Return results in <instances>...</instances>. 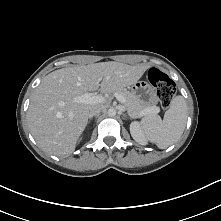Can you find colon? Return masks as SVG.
Masks as SVG:
<instances>
[{"mask_svg": "<svg viewBox=\"0 0 221 221\" xmlns=\"http://www.w3.org/2000/svg\"><path fill=\"white\" fill-rule=\"evenodd\" d=\"M148 80L157 90L161 107L164 109L169 108L176 93L175 83L167 74L157 68L149 70Z\"/></svg>", "mask_w": 221, "mask_h": 221, "instance_id": "obj_1", "label": "colon"}]
</instances>
